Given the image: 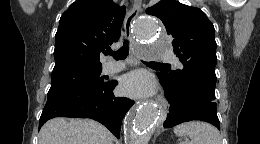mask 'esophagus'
<instances>
[{
  "label": "esophagus",
  "mask_w": 260,
  "mask_h": 144,
  "mask_svg": "<svg viewBox=\"0 0 260 144\" xmlns=\"http://www.w3.org/2000/svg\"><path fill=\"white\" fill-rule=\"evenodd\" d=\"M141 5H142V0H134V7L125 19L122 39H126L127 37L131 36V25L134 19L138 16L141 10Z\"/></svg>",
  "instance_id": "1"
}]
</instances>
